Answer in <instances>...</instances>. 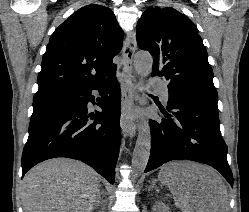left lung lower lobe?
Here are the masks:
<instances>
[{"mask_svg":"<svg viewBox=\"0 0 249 212\" xmlns=\"http://www.w3.org/2000/svg\"><path fill=\"white\" fill-rule=\"evenodd\" d=\"M168 93L167 111L159 107L165 118L150 120L151 153L145 172L171 160H191L212 166L232 186L217 99L183 89L168 88Z\"/></svg>","mask_w":249,"mask_h":212,"instance_id":"left-lung-lower-lobe-1","label":"left lung lower lobe"}]
</instances>
